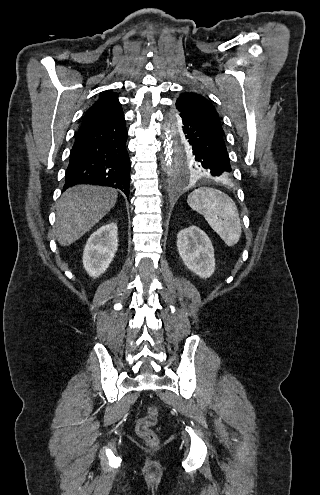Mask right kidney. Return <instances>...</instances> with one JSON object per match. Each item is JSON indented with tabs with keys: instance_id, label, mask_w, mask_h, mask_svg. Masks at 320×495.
Here are the masks:
<instances>
[{
	"instance_id": "ca27d5eb",
	"label": "right kidney",
	"mask_w": 320,
	"mask_h": 495,
	"mask_svg": "<svg viewBox=\"0 0 320 495\" xmlns=\"http://www.w3.org/2000/svg\"><path fill=\"white\" fill-rule=\"evenodd\" d=\"M117 225L100 227L88 239L83 253V266L89 276H101L112 262L118 248Z\"/></svg>"
}]
</instances>
